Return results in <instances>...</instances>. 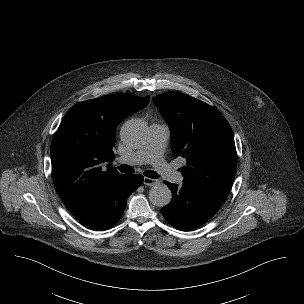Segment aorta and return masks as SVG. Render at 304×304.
I'll use <instances>...</instances> for the list:
<instances>
[{
	"instance_id": "obj_1",
	"label": "aorta",
	"mask_w": 304,
	"mask_h": 304,
	"mask_svg": "<svg viewBox=\"0 0 304 304\" xmlns=\"http://www.w3.org/2000/svg\"><path fill=\"white\" fill-rule=\"evenodd\" d=\"M121 139L129 147L141 146L148 135V128L144 121L131 119L121 129ZM172 193L165 184H156L149 191L150 202L157 207H164L170 203Z\"/></svg>"
}]
</instances>
